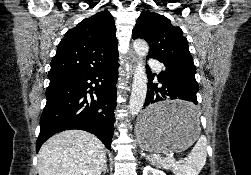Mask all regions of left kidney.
<instances>
[{
	"label": "left kidney",
	"mask_w": 251,
	"mask_h": 175,
	"mask_svg": "<svg viewBox=\"0 0 251 175\" xmlns=\"http://www.w3.org/2000/svg\"><path fill=\"white\" fill-rule=\"evenodd\" d=\"M143 175H166L161 169H154L151 165H145L143 169Z\"/></svg>",
	"instance_id": "left-kidney-1"
}]
</instances>
